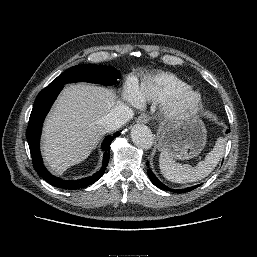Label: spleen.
Returning <instances> with one entry per match:
<instances>
[{"label": "spleen", "mask_w": 257, "mask_h": 257, "mask_svg": "<svg viewBox=\"0 0 257 257\" xmlns=\"http://www.w3.org/2000/svg\"><path fill=\"white\" fill-rule=\"evenodd\" d=\"M224 149L225 139L220 137L217 139L213 150L196 167L176 163L167 150H162L159 157L161 173L167 180L175 183L195 182L205 178L214 170L224 154Z\"/></svg>", "instance_id": "obj_1"}]
</instances>
